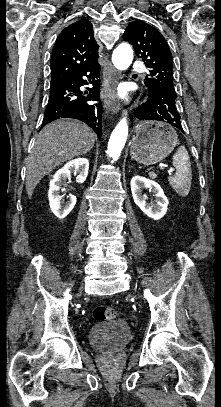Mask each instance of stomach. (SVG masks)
Listing matches in <instances>:
<instances>
[{
  "label": "stomach",
  "mask_w": 221,
  "mask_h": 407,
  "mask_svg": "<svg viewBox=\"0 0 221 407\" xmlns=\"http://www.w3.org/2000/svg\"><path fill=\"white\" fill-rule=\"evenodd\" d=\"M178 144L173 127L158 121H144L135 127L131 156L138 163L153 165L165 159Z\"/></svg>",
  "instance_id": "1"
}]
</instances>
